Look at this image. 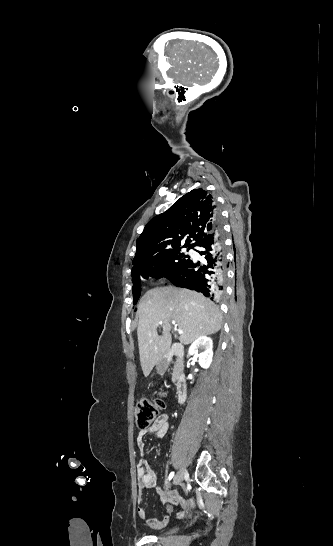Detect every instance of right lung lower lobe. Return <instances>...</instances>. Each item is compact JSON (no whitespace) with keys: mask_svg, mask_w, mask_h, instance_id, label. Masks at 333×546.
I'll return each mask as SVG.
<instances>
[{"mask_svg":"<svg viewBox=\"0 0 333 546\" xmlns=\"http://www.w3.org/2000/svg\"><path fill=\"white\" fill-rule=\"evenodd\" d=\"M194 246L203 248L197 252L204 255V263L189 259L168 279L175 286L195 290L211 300L218 298L226 279V253L220 227L216 225Z\"/></svg>","mask_w":333,"mask_h":546,"instance_id":"98d812e1","label":"right lung lower lobe"}]
</instances>
